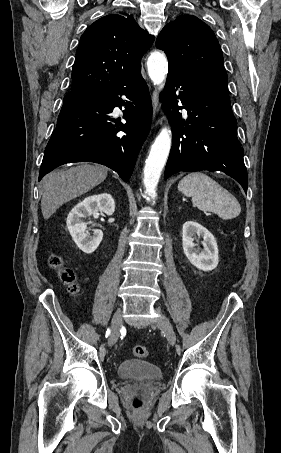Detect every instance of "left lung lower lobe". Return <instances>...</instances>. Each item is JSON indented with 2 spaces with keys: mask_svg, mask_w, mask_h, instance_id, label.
I'll return each mask as SVG.
<instances>
[{
  "mask_svg": "<svg viewBox=\"0 0 281 453\" xmlns=\"http://www.w3.org/2000/svg\"><path fill=\"white\" fill-rule=\"evenodd\" d=\"M164 95L173 132L164 179L179 171H223L247 193L248 175L227 83L192 81L169 70ZM182 108L188 112L187 123L178 112Z\"/></svg>",
  "mask_w": 281,
  "mask_h": 453,
  "instance_id": "1",
  "label": "left lung lower lobe"
}]
</instances>
